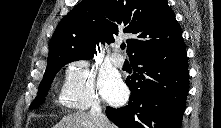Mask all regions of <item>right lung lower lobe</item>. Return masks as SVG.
Segmentation results:
<instances>
[{"instance_id": "right-lung-lower-lobe-1", "label": "right lung lower lobe", "mask_w": 221, "mask_h": 128, "mask_svg": "<svg viewBox=\"0 0 221 128\" xmlns=\"http://www.w3.org/2000/svg\"><path fill=\"white\" fill-rule=\"evenodd\" d=\"M134 73L128 105L106 108L119 128H180L189 90L188 59L184 40L131 59Z\"/></svg>"}]
</instances>
